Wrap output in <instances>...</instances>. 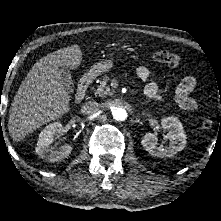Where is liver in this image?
<instances>
[{"mask_svg":"<svg viewBox=\"0 0 221 221\" xmlns=\"http://www.w3.org/2000/svg\"><path fill=\"white\" fill-rule=\"evenodd\" d=\"M79 45L59 49L41 58L20 85L10 108L8 129L15 142L69 111L70 95L61 81L60 67L77 68Z\"/></svg>","mask_w":221,"mask_h":221,"instance_id":"obj_1","label":"liver"}]
</instances>
